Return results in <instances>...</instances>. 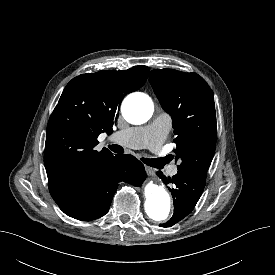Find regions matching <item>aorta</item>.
<instances>
[{
	"mask_svg": "<svg viewBox=\"0 0 275 275\" xmlns=\"http://www.w3.org/2000/svg\"><path fill=\"white\" fill-rule=\"evenodd\" d=\"M123 117L131 124L147 122L154 112L152 99L143 93L127 97L121 107ZM145 212L154 221H164L170 215L171 197L163 184L149 182L144 188Z\"/></svg>",
	"mask_w": 275,
	"mask_h": 275,
	"instance_id": "aorta-1",
	"label": "aorta"
}]
</instances>
